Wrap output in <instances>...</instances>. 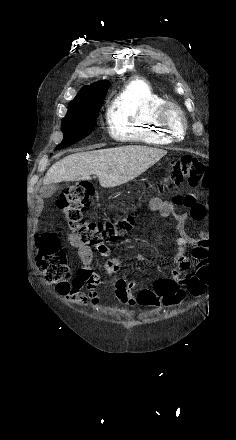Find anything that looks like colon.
Here are the masks:
<instances>
[{
    "mask_svg": "<svg viewBox=\"0 0 236 440\" xmlns=\"http://www.w3.org/2000/svg\"><path fill=\"white\" fill-rule=\"evenodd\" d=\"M208 173L205 165L199 159L190 155L174 160L169 172L164 179L163 188H170L186 182L191 187H204L207 183ZM91 184L84 182L67 187L59 196L57 205L64 212L65 225L69 233L82 243L92 246L108 245L124 236L134 223V215L128 214L116 220L104 222L87 219L84 213L89 207L92 195ZM39 254L37 266L45 279L53 284L61 294L70 291L68 277L69 267L61 249L58 237L53 233H45L39 238ZM209 280L192 279L187 289L193 296L204 293ZM185 291L178 287L173 280H158L154 289H145L140 295V304L155 302L160 299L162 304L173 306L180 303L185 297Z\"/></svg>",
    "mask_w": 236,
    "mask_h": 440,
    "instance_id": "colon-1",
    "label": "colon"
}]
</instances>
